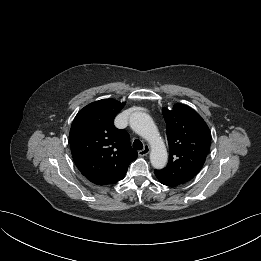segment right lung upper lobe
Segmentation results:
<instances>
[{"mask_svg": "<svg viewBox=\"0 0 261 261\" xmlns=\"http://www.w3.org/2000/svg\"><path fill=\"white\" fill-rule=\"evenodd\" d=\"M124 105L102 99L85 106L73 120L69 134L73 160L80 172L97 185L122 180L129 164L137 158L127 131L113 124Z\"/></svg>", "mask_w": 261, "mask_h": 261, "instance_id": "right-lung-upper-lobe-1", "label": "right lung upper lobe"}]
</instances>
